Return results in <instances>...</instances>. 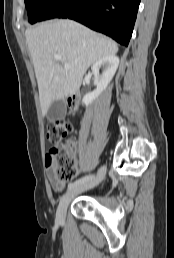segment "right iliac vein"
Returning a JSON list of instances; mask_svg holds the SVG:
<instances>
[{
    "label": "right iliac vein",
    "mask_w": 174,
    "mask_h": 258,
    "mask_svg": "<svg viewBox=\"0 0 174 258\" xmlns=\"http://www.w3.org/2000/svg\"><path fill=\"white\" fill-rule=\"evenodd\" d=\"M106 169L105 167H101L96 175L92 180L77 186L70 191H68L61 199L57 208L56 212V221L58 223H63L66 216L67 207L72 201V199L79 193L84 192L86 190L92 189L97 184H99L103 178L105 177Z\"/></svg>",
    "instance_id": "1"
}]
</instances>
